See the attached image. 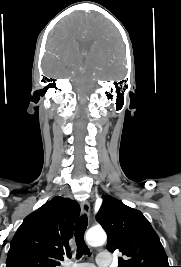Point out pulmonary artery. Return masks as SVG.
Instances as JSON below:
<instances>
[{"mask_svg":"<svg viewBox=\"0 0 181 267\" xmlns=\"http://www.w3.org/2000/svg\"><path fill=\"white\" fill-rule=\"evenodd\" d=\"M111 258L108 257L105 252L99 253L96 263L98 267H109L111 265ZM67 267H96L94 264L91 263H79V264H68Z\"/></svg>","mask_w":181,"mask_h":267,"instance_id":"obj_1","label":"pulmonary artery"}]
</instances>
